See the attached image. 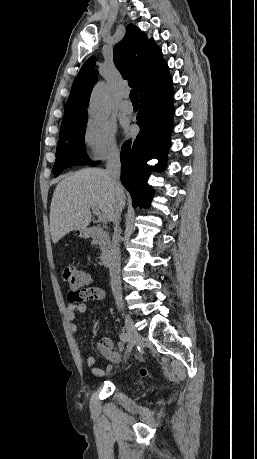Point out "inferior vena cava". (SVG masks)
<instances>
[{
	"label": "inferior vena cava",
	"instance_id": "602c4592",
	"mask_svg": "<svg viewBox=\"0 0 257 459\" xmlns=\"http://www.w3.org/2000/svg\"><path fill=\"white\" fill-rule=\"evenodd\" d=\"M106 172L110 186L115 195L114 208L111 220L114 223V234L108 254V265L110 273V285L116 301V304L122 305V292L120 280V216L124 208L125 198L122 185L120 183L121 162L118 150L112 151L107 159Z\"/></svg>",
	"mask_w": 257,
	"mask_h": 459
}]
</instances>
